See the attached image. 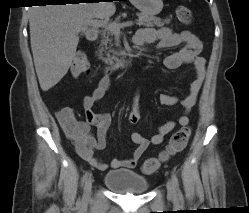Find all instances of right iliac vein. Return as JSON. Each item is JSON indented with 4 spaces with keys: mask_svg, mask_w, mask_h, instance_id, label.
Masks as SVG:
<instances>
[{
    "mask_svg": "<svg viewBox=\"0 0 249 213\" xmlns=\"http://www.w3.org/2000/svg\"><path fill=\"white\" fill-rule=\"evenodd\" d=\"M92 183H93V180L91 177H89L85 182V186H84L85 199H88L90 197L91 190H92Z\"/></svg>",
    "mask_w": 249,
    "mask_h": 213,
    "instance_id": "1",
    "label": "right iliac vein"
}]
</instances>
